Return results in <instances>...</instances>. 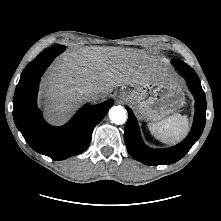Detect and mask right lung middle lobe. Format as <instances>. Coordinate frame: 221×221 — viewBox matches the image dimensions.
Returning <instances> with one entry per match:
<instances>
[{
    "mask_svg": "<svg viewBox=\"0 0 221 221\" xmlns=\"http://www.w3.org/2000/svg\"><path fill=\"white\" fill-rule=\"evenodd\" d=\"M53 47H58V48H65L64 46H62V45H55V46H53Z\"/></svg>",
    "mask_w": 221,
    "mask_h": 221,
    "instance_id": "1",
    "label": "right lung middle lobe"
}]
</instances>
